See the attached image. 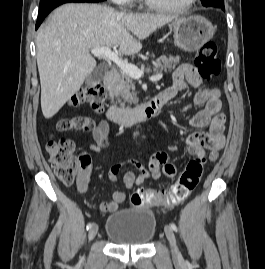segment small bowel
I'll use <instances>...</instances> for the list:
<instances>
[{
    "instance_id": "small-bowel-1",
    "label": "small bowel",
    "mask_w": 265,
    "mask_h": 269,
    "mask_svg": "<svg viewBox=\"0 0 265 269\" xmlns=\"http://www.w3.org/2000/svg\"><path fill=\"white\" fill-rule=\"evenodd\" d=\"M188 88L196 90L194 104L197 106L205 105L203 110L192 117L190 124L197 129L209 126L210 132L209 134L196 132L188 135L185 142V152L190 155L202 156L209 149V157L214 160L218 151L225 145L223 133L225 117L221 113L220 90L218 88H203V80L197 68L190 64H182L174 72L173 85L161 93L162 105ZM86 130L92 134L93 142L90 144L92 151L98 152L110 143V126L107 121L103 120L94 124L90 120V127ZM81 157L82 167L76 186L78 192L84 194L88 189L92 166L88 155L84 154ZM127 164L132 165L137 173L133 171L125 173L123 178L125 190H115L108 201L101 202L98 205V210L101 213L117 211L119 205L126 198V191L143 184L150 176L172 178L177 173V165L170 160L168 152L158 151L152 154L147 164L138 159H126L113 164L107 175L110 182L115 183L117 181L119 172Z\"/></svg>"
}]
</instances>
